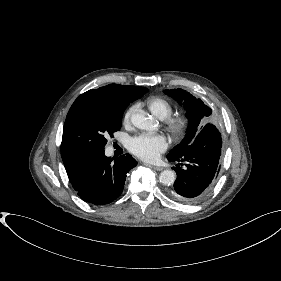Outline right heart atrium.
<instances>
[{"label":"right heart atrium","mask_w":281,"mask_h":281,"mask_svg":"<svg viewBox=\"0 0 281 281\" xmlns=\"http://www.w3.org/2000/svg\"><path fill=\"white\" fill-rule=\"evenodd\" d=\"M135 109H136V106H132L126 111V113L124 115V121L125 122H128L130 120V118H131L133 112L135 111Z\"/></svg>","instance_id":"1"}]
</instances>
